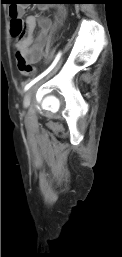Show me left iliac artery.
Masks as SVG:
<instances>
[{
    "instance_id": "44dca946",
    "label": "left iliac artery",
    "mask_w": 122,
    "mask_h": 257,
    "mask_svg": "<svg viewBox=\"0 0 122 257\" xmlns=\"http://www.w3.org/2000/svg\"><path fill=\"white\" fill-rule=\"evenodd\" d=\"M61 57V52L59 51L58 54L56 55L54 61L52 62V64L44 71L42 72L40 75H38L37 77H35L34 79H32L26 86H25V90H28L30 87H32L36 82H38L40 79H42L44 76H46L57 64V62L59 61Z\"/></svg>"
}]
</instances>
